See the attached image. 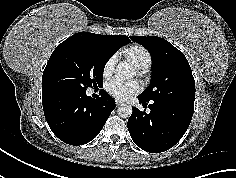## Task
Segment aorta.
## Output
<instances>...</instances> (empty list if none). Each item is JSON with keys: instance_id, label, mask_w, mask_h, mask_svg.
<instances>
[{"instance_id": "aorta-1", "label": "aorta", "mask_w": 236, "mask_h": 178, "mask_svg": "<svg viewBox=\"0 0 236 178\" xmlns=\"http://www.w3.org/2000/svg\"><path fill=\"white\" fill-rule=\"evenodd\" d=\"M132 77V72L128 65L119 64L115 70V78L119 81L126 80ZM117 113L122 118H129L132 114V107L128 104H120L117 108Z\"/></svg>"}]
</instances>
